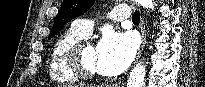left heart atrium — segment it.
<instances>
[{"label": "left heart atrium", "mask_w": 205, "mask_h": 87, "mask_svg": "<svg viewBox=\"0 0 205 87\" xmlns=\"http://www.w3.org/2000/svg\"><path fill=\"white\" fill-rule=\"evenodd\" d=\"M136 40L131 33L106 32L96 46V69L105 76H116L132 62Z\"/></svg>", "instance_id": "1"}]
</instances>
